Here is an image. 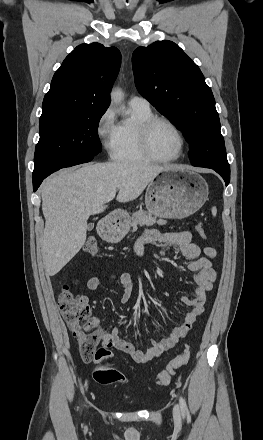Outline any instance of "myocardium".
<instances>
[{
	"mask_svg": "<svg viewBox=\"0 0 263 440\" xmlns=\"http://www.w3.org/2000/svg\"><path fill=\"white\" fill-rule=\"evenodd\" d=\"M164 122L168 124L170 127L174 129L180 139V149L176 156L171 158H161L156 156L150 146V133L153 127L159 123ZM137 137L138 143L141 152L146 156V158L150 161L158 162V163H171L179 160L186 149V138L182 130L169 118L165 116H157L154 115L144 121H141L137 127Z\"/></svg>",
	"mask_w": 263,
	"mask_h": 440,
	"instance_id": "1",
	"label": "myocardium"
}]
</instances>
